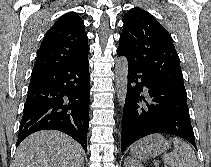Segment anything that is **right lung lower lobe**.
I'll list each match as a JSON object with an SVG mask.
<instances>
[{"label":"right lung lower lobe","instance_id":"98d812e1","mask_svg":"<svg viewBox=\"0 0 211 167\" xmlns=\"http://www.w3.org/2000/svg\"><path fill=\"white\" fill-rule=\"evenodd\" d=\"M89 62L63 65L32 76L17 146L40 130H59L87 149L90 101Z\"/></svg>","mask_w":211,"mask_h":167}]
</instances>
